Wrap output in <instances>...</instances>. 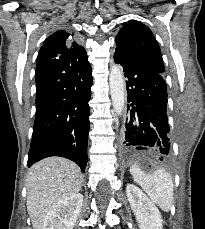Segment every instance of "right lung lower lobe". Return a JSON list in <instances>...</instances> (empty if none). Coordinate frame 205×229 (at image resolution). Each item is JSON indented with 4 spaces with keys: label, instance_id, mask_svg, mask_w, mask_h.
Segmentation results:
<instances>
[{
    "label": "right lung lower lobe",
    "instance_id": "obj_1",
    "mask_svg": "<svg viewBox=\"0 0 205 229\" xmlns=\"http://www.w3.org/2000/svg\"><path fill=\"white\" fill-rule=\"evenodd\" d=\"M91 66L73 70L59 59L36 68V115L28 167L49 157L87 165Z\"/></svg>",
    "mask_w": 205,
    "mask_h": 229
}]
</instances>
